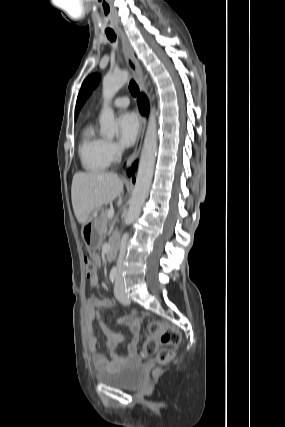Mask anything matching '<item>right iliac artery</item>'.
I'll use <instances>...</instances> for the list:
<instances>
[{"mask_svg":"<svg viewBox=\"0 0 285 427\" xmlns=\"http://www.w3.org/2000/svg\"><path fill=\"white\" fill-rule=\"evenodd\" d=\"M117 268H112L111 269V271H110V276H109V278H110V280H111V282H114L115 281V279H116V277H117Z\"/></svg>","mask_w":285,"mask_h":427,"instance_id":"82829eb1","label":"right iliac artery"}]
</instances>
